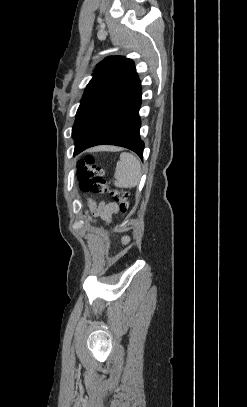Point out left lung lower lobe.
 Segmentation results:
<instances>
[{"mask_svg":"<svg viewBox=\"0 0 247 407\" xmlns=\"http://www.w3.org/2000/svg\"><path fill=\"white\" fill-rule=\"evenodd\" d=\"M141 84L139 79L115 98L99 115L74 154L101 144L122 146L143 158L144 142L140 139Z\"/></svg>","mask_w":247,"mask_h":407,"instance_id":"1","label":"left lung lower lobe"}]
</instances>
